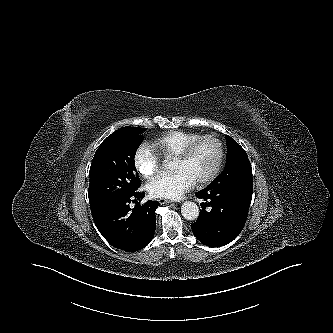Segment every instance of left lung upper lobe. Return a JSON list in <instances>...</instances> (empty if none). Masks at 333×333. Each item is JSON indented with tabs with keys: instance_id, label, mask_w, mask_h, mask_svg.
I'll list each match as a JSON object with an SVG mask.
<instances>
[{
	"instance_id": "obj_1",
	"label": "left lung upper lobe",
	"mask_w": 333,
	"mask_h": 333,
	"mask_svg": "<svg viewBox=\"0 0 333 333\" xmlns=\"http://www.w3.org/2000/svg\"><path fill=\"white\" fill-rule=\"evenodd\" d=\"M227 161L224 171L212 182H224L234 192L252 198V168L245 150L226 136Z\"/></svg>"
}]
</instances>
